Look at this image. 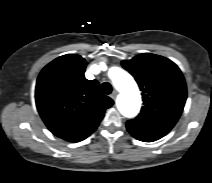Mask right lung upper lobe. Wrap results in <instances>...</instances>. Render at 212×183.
Instances as JSON below:
<instances>
[{
	"mask_svg": "<svg viewBox=\"0 0 212 183\" xmlns=\"http://www.w3.org/2000/svg\"><path fill=\"white\" fill-rule=\"evenodd\" d=\"M86 61L75 54L50 62L39 74L35 89L38 112L56 136L79 142L90 136L113 100L103 95L96 80L84 76Z\"/></svg>",
	"mask_w": 212,
	"mask_h": 183,
	"instance_id": "cb5924a9",
	"label": "right lung upper lobe"
}]
</instances>
